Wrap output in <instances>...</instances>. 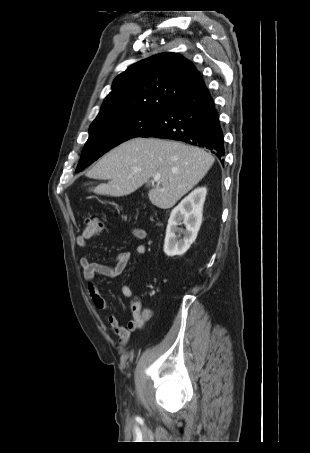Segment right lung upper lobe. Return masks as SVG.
I'll return each mask as SVG.
<instances>
[{"mask_svg": "<svg viewBox=\"0 0 310 453\" xmlns=\"http://www.w3.org/2000/svg\"><path fill=\"white\" fill-rule=\"evenodd\" d=\"M203 82L195 66L176 53H161L117 76L96 119L123 112H163Z\"/></svg>", "mask_w": 310, "mask_h": 453, "instance_id": "obj_1", "label": "right lung upper lobe"}]
</instances>
